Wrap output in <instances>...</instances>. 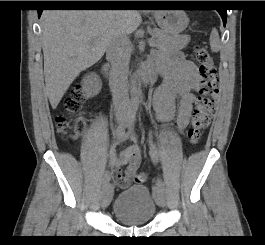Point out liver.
I'll use <instances>...</instances> for the list:
<instances>
[{
	"label": "liver",
	"instance_id": "obj_1",
	"mask_svg": "<svg viewBox=\"0 0 265 245\" xmlns=\"http://www.w3.org/2000/svg\"><path fill=\"white\" fill-rule=\"evenodd\" d=\"M138 10H46L41 16L46 93L53 109L83 70L104 55L115 33L141 24Z\"/></svg>",
	"mask_w": 265,
	"mask_h": 245
}]
</instances>
